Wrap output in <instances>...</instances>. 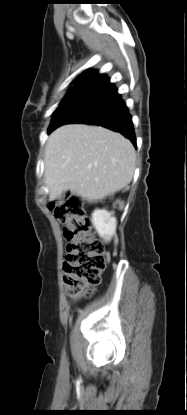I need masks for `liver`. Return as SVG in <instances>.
Returning a JSON list of instances; mask_svg holds the SVG:
<instances>
[{
  "mask_svg": "<svg viewBox=\"0 0 187 415\" xmlns=\"http://www.w3.org/2000/svg\"><path fill=\"white\" fill-rule=\"evenodd\" d=\"M44 162L50 201L69 190L94 202L131 182L136 152L119 133L100 126L70 124L50 134Z\"/></svg>",
  "mask_w": 187,
  "mask_h": 415,
  "instance_id": "6515ba94",
  "label": "liver"
}]
</instances>
